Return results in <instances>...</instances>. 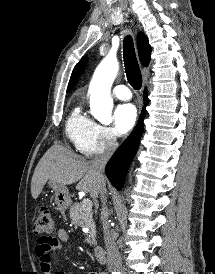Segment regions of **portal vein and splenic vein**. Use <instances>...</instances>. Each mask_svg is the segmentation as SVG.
<instances>
[{
  "instance_id": "obj_1",
  "label": "portal vein and splenic vein",
  "mask_w": 215,
  "mask_h": 274,
  "mask_svg": "<svg viewBox=\"0 0 215 274\" xmlns=\"http://www.w3.org/2000/svg\"><path fill=\"white\" fill-rule=\"evenodd\" d=\"M82 207L85 211H90L92 209V202L90 199H83Z\"/></svg>"
}]
</instances>
